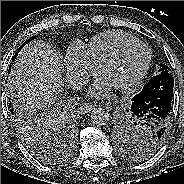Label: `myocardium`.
I'll use <instances>...</instances> for the list:
<instances>
[{
  "instance_id": "1",
  "label": "myocardium",
  "mask_w": 184,
  "mask_h": 184,
  "mask_svg": "<svg viewBox=\"0 0 184 184\" xmlns=\"http://www.w3.org/2000/svg\"><path fill=\"white\" fill-rule=\"evenodd\" d=\"M136 46H140L146 49L147 51L146 60L141 70L139 71V73L131 81H129L128 83L120 87L115 88L120 92H124V93L131 92L142 82V80L144 79V77L146 76L150 68L151 61H152V51L150 47L146 43L136 39L134 41L125 43L122 46H120L109 57H107L100 65V73L102 74L108 66L113 64L116 60H118L127 50Z\"/></svg>"
}]
</instances>
